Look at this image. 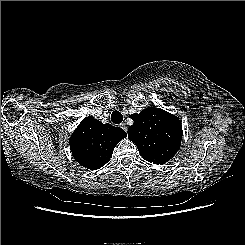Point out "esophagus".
Listing matches in <instances>:
<instances>
[{"label":"esophagus","mask_w":245,"mask_h":245,"mask_svg":"<svg viewBox=\"0 0 245 245\" xmlns=\"http://www.w3.org/2000/svg\"><path fill=\"white\" fill-rule=\"evenodd\" d=\"M120 127L124 130V131H127V126L125 123H121L120 124Z\"/></svg>","instance_id":"obj_1"}]
</instances>
